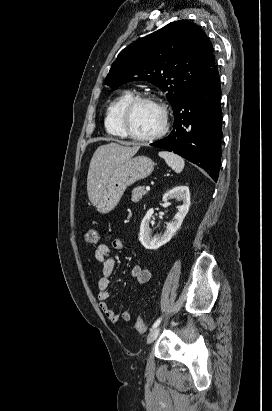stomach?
<instances>
[{
    "mask_svg": "<svg viewBox=\"0 0 272 411\" xmlns=\"http://www.w3.org/2000/svg\"><path fill=\"white\" fill-rule=\"evenodd\" d=\"M154 169V162L146 156H136L119 164L104 185L97 204V211L108 214L118 205L126 188L148 177Z\"/></svg>",
    "mask_w": 272,
    "mask_h": 411,
    "instance_id": "1",
    "label": "stomach"
}]
</instances>
